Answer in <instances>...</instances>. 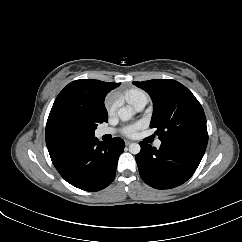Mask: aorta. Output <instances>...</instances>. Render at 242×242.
<instances>
[{"mask_svg":"<svg viewBox=\"0 0 242 242\" xmlns=\"http://www.w3.org/2000/svg\"><path fill=\"white\" fill-rule=\"evenodd\" d=\"M117 114L122 121H127L133 116V110L130 107H121L118 109ZM141 147L138 143H131L129 145V152L136 155L140 152Z\"/></svg>","mask_w":242,"mask_h":242,"instance_id":"1","label":"aorta"}]
</instances>
